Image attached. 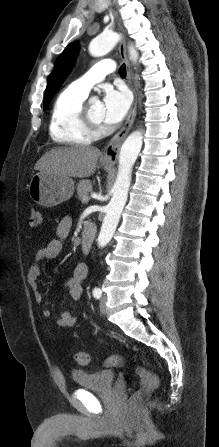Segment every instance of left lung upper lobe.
<instances>
[{
  "instance_id": "5c2ea615",
  "label": "left lung upper lobe",
  "mask_w": 219,
  "mask_h": 447,
  "mask_svg": "<svg viewBox=\"0 0 219 447\" xmlns=\"http://www.w3.org/2000/svg\"><path fill=\"white\" fill-rule=\"evenodd\" d=\"M78 42H73L69 44L65 50L60 54L55 62L54 70L52 71L44 97V109L47 107L52 97L55 95L60 85L66 79L69 74L72 65L75 61L78 52Z\"/></svg>"
}]
</instances>
